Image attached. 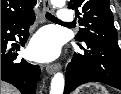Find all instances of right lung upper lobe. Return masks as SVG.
Wrapping results in <instances>:
<instances>
[{
  "label": "right lung upper lobe",
  "mask_w": 121,
  "mask_h": 94,
  "mask_svg": "<svg viewBox=\"0 0 121 94\" xmlns=\"http://www.w3.org/2000/svg\"><path fill=\"white\" fill-rule=\"evenodd\" d=\"M35 5L36 0H1V22L26 15Z\"/></svg>",
  "instance_id": "1"
}]
</instances>
